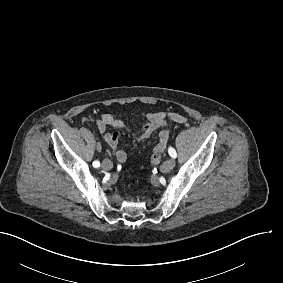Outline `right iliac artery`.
<instances>
[{"label": "right iliac artery", "instance_id": "right-iliac-artery-1", "mask_svg": "<svg viewBox=\"0 0 283 283\" xmlns=\"http://www.w3.org/2000/svg\"><path fill=\"white\" fill-rule=\"evenodd\" d=\"M100 166V162L99 161H94L93 162V167L98 168Z\"/></svg>", "mask_w": 283, "mask_h": 283}]
</instances>
